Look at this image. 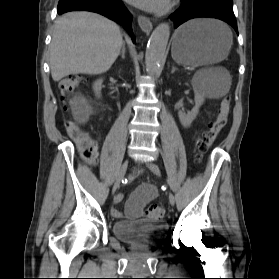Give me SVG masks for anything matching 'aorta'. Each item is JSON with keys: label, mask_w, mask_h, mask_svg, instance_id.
<instances>
[{"label": "aorta", "mask_w": 279, "mask_h": 279, "mask_svg": "<svg viewBox=\"0 0 279 279\" xmlns=\"http://www.w3.org/2000/svg\"><path fill=\"white\" fill-rule=\"evenodd\" d=\"M170 36V26L168 23L159 24L153 31L148 42L145 54L146 70L151 75L160 73L166 47Z\"/></svg>", "instance_id": "762f6f07"}]
</instances>
